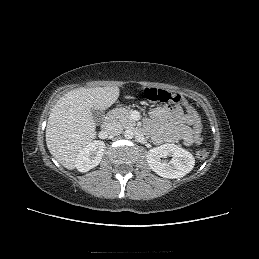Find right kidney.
Instances as JSON below:
<instances>
[{
    "instance_id": "1",
    "label": "right kidney",
    "mask_w": 259,
    "mask_h": 259,
    "mask_svg": "<svg viewBox=\"0 0 259 259\" xmlns=\"http://www.w3.org/2000/svg\"><path fill=\"white\" fill-rule=\"evenodd\" d=\"M105 143L103 141H93L85 146L77 155L76 169L80 172H87L93 169L102 160Z\"/></svg>"
}]
</instances>
